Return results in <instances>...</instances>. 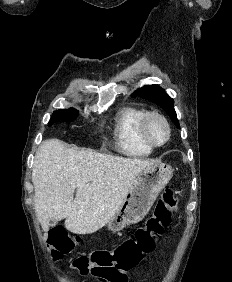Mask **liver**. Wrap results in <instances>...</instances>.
Here are the masks:
<instances>
[{"instance_id": "obj_1", "label": "liver", "mask_w": 232, "mask_h": 282, "mask_svg": "<svg viewBox=\"0 0 232 282\" xmlns=\"http://www.w3.org/2000/svg\"><path fill=\"white\" fill-rule=\"evenodd\" d=\"M152 164L146 159L72 149L58 139L44 141L35 155L32 182L45 239L50 220L65 219V228L75 234L101 229L139 173Z\"/></svg>"}]
</instances>
